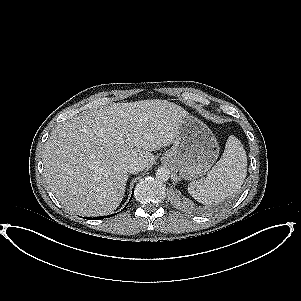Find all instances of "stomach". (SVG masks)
<instances>
[{
  "label": "stomach",
  "instance_id": "stomach-1",
  "mask_svg": "<svg viewBox=\"0 0 301 301\" xmlns=\"http://www.w3.org/2000/svg\"><path fill=\"white\" fill-rule=\"evenodd\" d=\"M218 156L219 145L212 131L196 118L187 116L162 161L173 165L182 178L194 180L205 175Z\"/></svg>",
  "mask_w": 301,
  "mask_h": 301
}]
</instances>
